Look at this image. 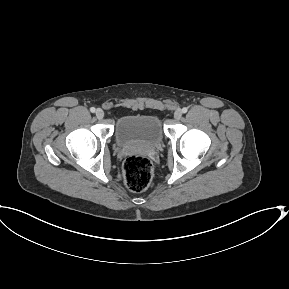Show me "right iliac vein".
Returning <instances> with one entry per match:
<instances>
[{
    "label": "right iliac vein",
    "instance_id": "1",
    "mask_svg": "<svg viewBox=\"0 0 289 289\" xmlns=\"http://www.w3.org/2000/svg\"><path fill=\"white\" fill-rule=\"evenodd\" d=\"M96 117L98 119H102L104 117V111L102 109H97L96 110Z\"/></svg>",
    "mask_w": 289,
    "mask_h": 289
}]
</instances>
